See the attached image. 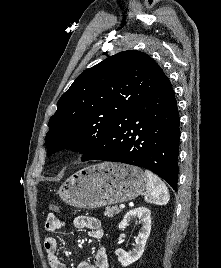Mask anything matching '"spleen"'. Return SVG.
Wrapping results in <instances>:
<instances>
[{
	"label": "spleen",
	"instance_id": "spleen-1",
	"mask_svg": "<svg viewBox=\"0 0 221 268\" xmlns=\"http://www.w3.org/2000/svg\"><path fill=\"white\" fill-rule=\"evenodd\" d=\"M147 178L145 201L156 205H165L169 201V192L161 179L149 170L145 171Z\"/></svg>",
	"mask_w": 221,
	"mask_h": 268
}]
</instances>
